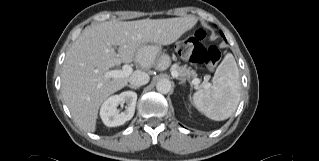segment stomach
Returning <instances> with one entry per match:
<instances>
[{
	"label": "stomach",
	"mask_w": 319,
	"mask_h": 161,
	"mask_svg": "<svg viewBox=\"0 0 319 161\" xmlns=\"http://www.w3.org/2000/svg\"><path fill=\"white\" fill-rule=\"evenodd\" d=\"M136 59L138 62L156 63L162 69L170 64V57L162 51L160 45L154 43L142 45L137 51Z\"/></svg>",
	"instance_id": "obj_1"
}]
</instances>
